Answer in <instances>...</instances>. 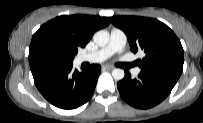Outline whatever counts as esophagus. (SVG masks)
Returning a JSON list of instances; mask_svg holds the SVG:
<instances>
[{
    "label": "esophagus",
    "instance_id": "1",
    "mask_svg": "<svg viewBox=\"0 0 203 123\" xmlns=\"http://www.w3.org/2000/svg\"><path fill=\"white\" fill-rule=\"evenodd\" d=\"M102 69H103V70H113L114 67L109 66V65H104V66L102 67Z\"/></svg>",
    "mask_w": 203,
    "mask_h": 123
}]
</instances>
